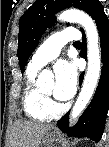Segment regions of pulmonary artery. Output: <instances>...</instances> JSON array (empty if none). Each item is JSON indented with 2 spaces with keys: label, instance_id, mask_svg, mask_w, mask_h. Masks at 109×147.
Returning <instances> with one entry per match:
<instances>
[{
  "label": "pulmonary artery",
  "instance_id": "pulmonary-artery-1",
  "mask_svg": "<svg viewBox=\"0 0 109 147\" xmlns=\"http://www.w3.org/2000/svg\"><path fill=\"white\" fill-rule=\"evenodd\" d=\"M81 40V35L78 32L62 31L49 36L45 42L35 51L30 66L42 68L50 61L54 60L67 42L77 44Z\"/></svg>",
  "mask_w": 109,
  "mask_h": 147
}]
</instances>
